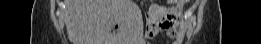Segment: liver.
I'll return each instance as SVG.
<instances>
[{
	"instance_id": "1",
	"label": "liver",
	"mask_w": 261,
	"mask_h": 44,
	"mask_svg": "<svg viewBox=\"0 0 261 44\" xmlns=\"http://www.w3.org/2000/svg\"><path fill=\"white\" fill-rule=\"evenodd\" d=\"M77 44H138L142 37L132 0H68Z\"/></svg>"
}]
</instances>
